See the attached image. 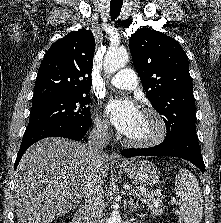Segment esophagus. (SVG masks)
<instances>
[{
  "label": "esophagus",
  "mask_w": 221,
  "mask_h": 223,
  "mask_svg": "<svg viewBox=\"0 0 221 223\" xmlns=\"http://www.w3.org/2000/svg\"><path fill=\"white\" fill-rule=\"evenodd\" d=\"M110 159L113 164H124L125 163V160L122 158L120 153L117 151L112 152Z\"/></svg>",
  "instance_id": "obj_1"
}]
</instances>
